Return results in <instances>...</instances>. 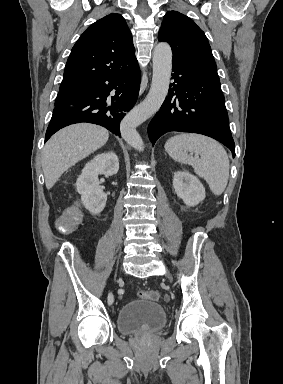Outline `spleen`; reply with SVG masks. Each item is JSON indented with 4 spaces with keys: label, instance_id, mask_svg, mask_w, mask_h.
Returning a JSON list of instances; mask_svg holds the SVG:
<instances>
[{
    "label": "spleen",
    "instance_id": "spleen-1",
    "mask_svg": "<svg viewBox=\"0 0 283 384\" xmlns=\"http://www.w3.org/2000/svg\"><path fill=\"white\" fill-rule=\"evenodd\" d=\"M167 154L180 164H189L199 178H204L214 196L223 194L229 178V158L223 146L199 134H180L167 140ZM186 152L200 154L201 158L188 156Z\"/></svg>",
    "mask_w": 283,
    "mask_h": 384
}]
</instances>
